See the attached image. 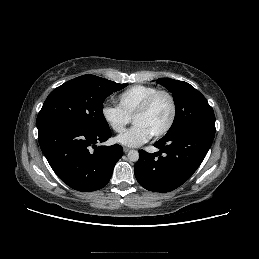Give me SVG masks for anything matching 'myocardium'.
<instances>
[{
    "label": "myocardium",
    "instance_id": "myocardium-1",
    "mask_svg": "<svg viewBox=\"0 0 259 259\" xmlns=\"http://www.w3.org/2000/svg\"><path fill=\"white\" fill-rule=\"evenodd\" d=\"M164 95L166 97H168V99L170 100L171 103V116L170 119L168 121V123L166 124V126L161 129L160 131H158L157 133H155L154 135H152L155 138H159L164 136L165 134H167L170 129L173 127L174 122L176 120V116H177V103L175 100V97L173 96L172 93H170L167 90H158L155 93L151 94L143 103L142 105L139 107V109L134 113L132 119L134 120L136 117L138 116H142L144 114H146L151 106L153 105V103L155 102V100L161 96Z\"/></svg>",
    "mask_w": 259,
    "mask_h": 259
}]
</instances>
